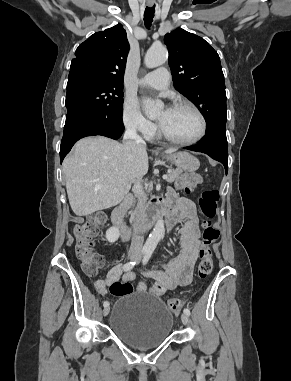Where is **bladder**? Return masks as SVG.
<instances>
[{
    "label": "bladder",
    "instance_id": "31cf9c89",
    "mask_svg": "<svg viewBox=\"0 0 291 381\" xmlns=\"http://www.w3.org/2000/svg\"><path fill=\"white\" fill-rule=\"evenodd\" d=\"M110 330L137 349H152L171 334L173 315L161 298L146 292L123 295L113 304Z\"/></svg>",
    "mask_w": 291,
    "mask_h": 381
}]
</instances>
